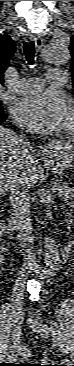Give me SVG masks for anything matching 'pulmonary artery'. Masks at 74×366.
Segmentation results:
<instances>
[{"instance_id":"1","label":"pulmonary artery","mask_w":74,"mask_h":366,"mask_svg":"<svg viewBox=\"0 0 74 366\" xmlns=\"http://www.w3.org/2000/svg\"><path fill=\"white\" fill-rule=\"evenodd\" d=\"M67 78V73L60 69L50 70L46 74L49 86L59 87ZM44 87V81L40 78H23L16 85V91L21 94L37 93Z\"/></svg>"}]
</instances>
